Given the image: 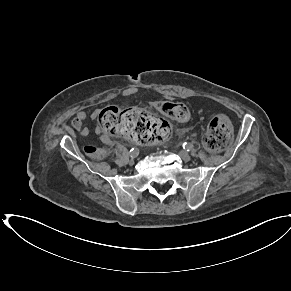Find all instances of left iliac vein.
Segmentation results:
<instances>
[{
	"label": "left iliac vein",
	"instance_id": "left-iliac-vein-1",
	"mask_svg": "<svg viewBox=\"0 0 291 291\" xmlns=\"http://www.w3.org/2000/svg\"><path fill=\"white\" fill-rule=\"evenodd\" d=\"M179 155L185 162H188L191 160V156L186 151H180Z\"/></svg>",
	"mask_w": 291,
	"mask_h": 291
}]
</instances>
